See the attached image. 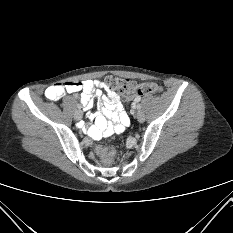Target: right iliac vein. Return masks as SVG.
<instances>
[{"instance_id": "63e3f726", "label": "right iliac vein", "mask_w": 233, "mask_h": 233, "mask_svg": "<svg viewBox=\"0 0 233 233\" xmlns=\"http://www.w3.org/2000/svg\"><path fill=\"white\" fill-rule=\"evenodd\" d=\"M82 116H83V113H82L81 110H78V111H76V112L74 113V118H75L76 120H80V119L82 118Z\"/></svg>"}]
</instances>
